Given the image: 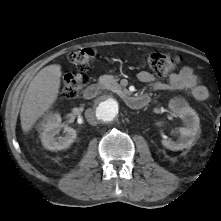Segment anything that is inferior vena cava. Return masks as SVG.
I'll return each instance as SVG.
<instances>
[{"instance_id": "1", "label": "inferior vena cava", "mask_w": 221, "mask_h": 221, "mask_svg": "<svg viewBox=\"0 0 221 221\" xmlns=\"http://www.w3.org/2000/svg\"><path fill=\"white\" fill-rule=\"evenodd\" d=\"M85 117H86L87 121L89 122V124L97 125V120H96L95 114L91 109L86 110Z\"/></svg>"}]
</instances>
